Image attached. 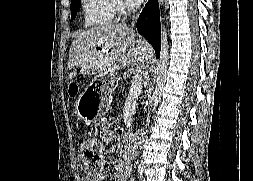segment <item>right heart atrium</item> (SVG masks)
<instances>
[{"instance_id": "right-heart-atrium-1", "label": "right heart atrium", "mask_w": 253, "mask_h": 181, "mask_svg": "<svg viewBox=\"0 0 253 181\" xmlns=\"http://www.w3.org/2000/svg\"><path fill=\"white\" fill-rule=\"evenodd\" d=\"M114 5L116 13L121 16L127 14L131 10L126 0H114Z\"/></svg>"}]
</instances>
